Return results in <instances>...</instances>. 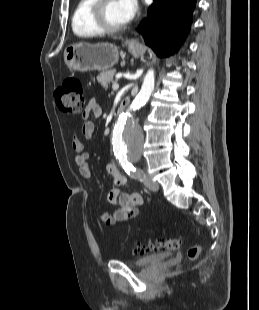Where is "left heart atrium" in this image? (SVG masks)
<instances>
[{
  "label": "left heart atrium",
  "mask_w": 259,
  "mask_h": 310,
  "mask_svg": "<svg viewBox=\"0 0 259 310\" xmlns=\"http://www.w3.org/2000/svg\"><path fill=\"white\" fill-rule=\"evenodd\" d=\"M125 23L131 21L137 12L136 0H118Z\"/></svg>",
  "instance_id": "left-heart-atrium-1"
}]
</instances>
